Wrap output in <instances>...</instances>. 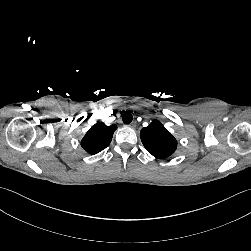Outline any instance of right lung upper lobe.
<instances>
[{"instance_id":"right-lung-upper-lobe-1","label":"right lung upper lobe","mask_w":251,"mask_h":251,"mask_svg":"<svg viewBox=\"0 0 251 251\" xmlns=\"http://www.w3.org/2000/svg\"><path fill=\"white\" fill-rule=\"evenodd\" d=\"M116 129L115 124L106 126L102 122H97L87 131L81 141V146L89 154H97L109 146Z\"/></svg>"}]
</instances>
